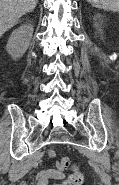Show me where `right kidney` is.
<instances>
[{
    "instance_id": "obj_1",
    "label": "right kidney",
    "mask_w": 119,
    "mask_h": 185,
    "mask_svg": "<svg viewBox=\"0 0 119 185\" xmlns=\"http://www.w3.org/2000/svg\"><path fill=\"white\" fill-rule=\"evenodd\" d=\"M33 30L32 24H25L12 32L8 39L6 50L13 59L16 60L22 57L26 52L33 35Z\"/></svg>"
}]
</instances>
